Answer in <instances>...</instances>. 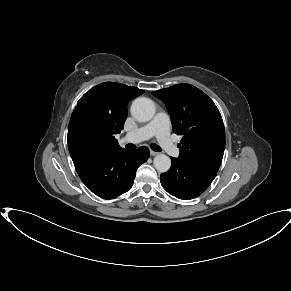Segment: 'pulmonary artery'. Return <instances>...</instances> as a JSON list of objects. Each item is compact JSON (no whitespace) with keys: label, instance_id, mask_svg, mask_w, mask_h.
<instances>
[{"label":"pulmonary artery","instance_id":"obj_1","mask_svg":"<svg viewBox=\"0 0 291 291\" xmlns=\"http://www.w3.org/2000/svg\"><path fill=\"white\" fill-rule=\"evenodd\" d=\"M169 127V116L164 112H159L146 125L124 135L122 141L138 143L155 136L169 155L178 156L179 150L170 137Z\"/></svg>","mask_w":291,"mask_h":291}]
</instances>
